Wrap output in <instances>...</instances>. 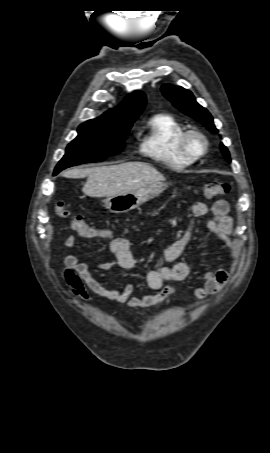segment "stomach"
I'll return each mask as SVG.
<instances>
[{
  "label": "stomach",
  "instance_id": "1",
  "mask_svg": "<svg viewBox=\"0 0 270 453\" xmlns=\"http://www.w3.org/2000/svg\"><path fill=\"white\" fill-rule=\"evenodd\" d=\"M166 187L165 183L156 182L127 194L106 197L103 203L111 213H126L158 196Z\"/></svg>",
  "mask_w": 270,
  "mask_h": 453
}]
</instances>
